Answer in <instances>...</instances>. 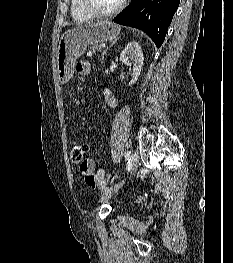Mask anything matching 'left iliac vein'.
<instances>
[{"label": "left iliac vein", "instance_id": "1", "mask_svg": "<svg viewBox=\"0 0 233 263\" xmlns=\"http://www.w3.org/2000/svg\"><path fill=\"white\" fill-rule=\"evenodd\" d=\"M138 166H139V157L137 153H134L130 158V174L134 173L137 170ZM123 183L124 180L120 181L119 183L115 184L114 186L106 190L102 194L100 201L104 202L107 201L109 198H111L112 195L122 187Z\"/></svg>", "mask_w": 233, "mask_h": 263}]
</instances>
